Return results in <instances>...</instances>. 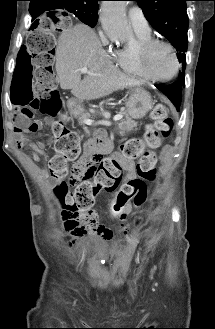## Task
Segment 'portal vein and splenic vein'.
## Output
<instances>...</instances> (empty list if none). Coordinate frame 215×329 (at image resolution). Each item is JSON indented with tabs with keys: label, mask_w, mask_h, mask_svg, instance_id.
I'll return each instance as SVG.
<instances>
[{
	"label": "portal vein and splenic vein",
	"mask_w": 215,
	"mask_h": 329,
	"mask_svg": "<svg viewBox=\"0 0 215 329\" xmlns=\"http://www.w3.org/2000/svg\"><path fill=\"white\" fill-rule=\"evenodd\" d=\"M80 72L83 73V74H88V73H90L87 67H82V68L80 69ZM122 118H123V115H122V114H117V115L114 116L113 119H114V121H119V120H121ZM93 122H94V121L91 120V119H85V120H84V123H85L86 125H92Z\"/></svg>",
	"instance_id": "18ae733b"
}]
</instances>
